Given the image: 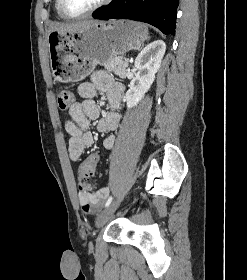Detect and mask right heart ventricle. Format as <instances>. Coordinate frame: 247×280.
I'll list each match as a JSON object with an SVG mask.
<instances>
[{
    "instance_id": "e07e8e85",
    "label": "right heart ventricle",
    "mask_w": 247,
    "mask_h": 280,
    "mask_svg": "<svg viewBox=\"0 0 247 280\" xmlns=\"http://www.w3.org/2000/svg\"><path fill=\"white\" fill-rule=\"evenodd\" d=\"M55 10H56V14L60 19H66L60 12L59 9V0H55Z\"/></svg>"
}]
</instances>
